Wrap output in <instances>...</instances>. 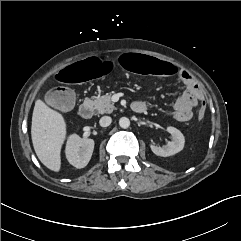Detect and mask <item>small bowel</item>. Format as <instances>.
Instances as JSON below:
<instances>
[{
  "instance_id": "small-bowel-1",
  "label": "small bowel",
  "mask_w": 241,
  "mask_h": 241,
  "mask_svg": "<svg viewBox=\"0 0 241 241\" xmlns=\"http://www.w3.org/2000/svg\"><path fill=\"white\" fill-rule=\"evenodd\" d=\"M178 77L185 84L187 89L175 101L174 118L177 121L184 123L192 118V109L203 99V90L198 81L189 71L180 69ZM138 102L145 103L143 100H139Z\"/></svg>"
}]
</instances>
